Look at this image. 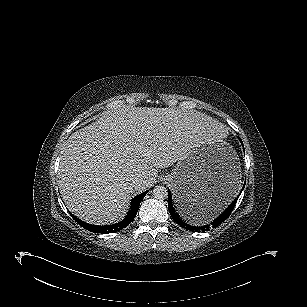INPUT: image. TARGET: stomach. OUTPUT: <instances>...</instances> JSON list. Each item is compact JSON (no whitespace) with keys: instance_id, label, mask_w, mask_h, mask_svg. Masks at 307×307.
I'll return each mask as SVG.
<instances>
[{"instance_id":"0dacf381","label":"stomach","mask_w":307,"mask_h":307,"mask_svg":"<svg viewBox=\"0 0 307 307\" xmlns=\"http://www.w3.org/2000/svg\"><path fill=\"white\" fill-rule=\"evenodd\" d=\"M240 179L238 156L224 141L192 148L165 177L174 191L176 207L186 219L210 207L225 208L239 191Z\"/></svg>"}]
</instances>
